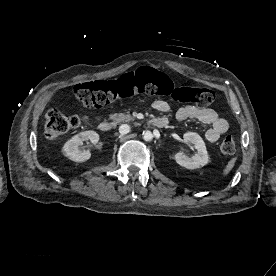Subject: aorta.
<instances>
[{"mask_svg": "<svg viewBox=\"0 0 276 276\" xmlns=\"http://www.w3.org/2000/svg\"><path fill=\"white\" fill-rule=\"evenodd\" d=\"M143 139L145 141H151L153 139V134L151 131L147 130L143 132Z\"/></svg>", "mask_w": 276, "mask_h": 276, "instance_id": "762f6f07", "label": "aorta"}]
</instances>
